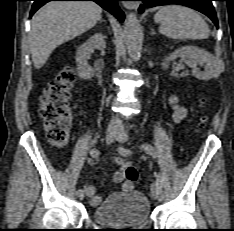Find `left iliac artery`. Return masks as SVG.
I'll list each match as a JSON object with an SVG mask.
<instances>
[{"mask_svg": "<svg viewBox=\"0 0 234 231\" xmlns=\"http://www.w3.org/2000/svg\"><path fill=\"white\" fill-rule=\"evenodd\" d=\"M140 148H141L142 150H144L147 154L153 156L154 158L157 157L156 151H155V149H154V147H153L152 145H150V144H143V145H141ZM118 151H119V153H120L121 155H123V156H128V155L131 154V151H130V150H128V149H126V148H124V147H122V146H120V147L118 148ZM156 177H157V181H156V182H157V184H158V198H159L160 200H162V199L164 198V194H163V190H162V187H163V179H162V176H161L160 173H157V174H156Z\"/></svg>", "mask_w": 234, "mask_h": 231, "instance_id": "1", "label": "left iliac artery"}]
</instances>
